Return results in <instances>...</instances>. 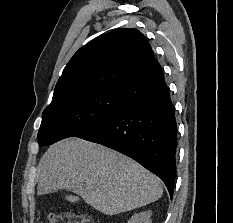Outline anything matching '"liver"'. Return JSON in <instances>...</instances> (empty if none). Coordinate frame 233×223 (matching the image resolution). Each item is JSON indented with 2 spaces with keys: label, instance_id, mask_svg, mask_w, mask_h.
<instances>
[{
  "label": "liver",
  "instance_id": "obj_1",
  "mask_svg": "<svg viewBox=\"0 0 233 223\" xmlns=\"http://www.w3.org/2000/svg\"><path fill=\"white\" fill-rule=\"evenodd\" d=\"M37 193L67 189L105 215L146 205L163 193L157 175L110 147L69 137L53 143L36 169Z\"/></svg>",
  "mask_w": 233,
  "mask_h": 223
}]
</instances>
